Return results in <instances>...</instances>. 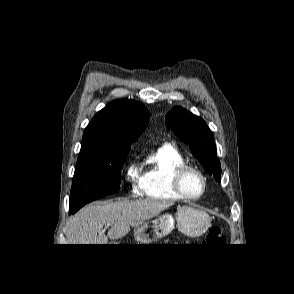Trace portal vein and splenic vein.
<instances>
[{
  "mask_svg": "<svg viewBox=\"0 0 294 294\" xmlns=\"http://www.w3.org/2000/svg\"><path fill=\"white\" fill-rule=\"evenodd\" d=\"M111 224L110 223H107V227H109Z\"/></svg>",
  "mask_w": 294,
  "mask_h": 294,
  "instance_id": "18ae733b",
  "label": "portal vein and splenic vein"
}]
</instances>
